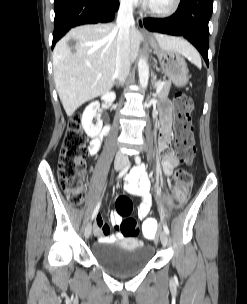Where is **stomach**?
<instances>
[{"mask_svg":"<svg viewBox=\"0 0 247 304\" xmlns=\"http://www.w3.org/2000/svg\"><path fill=\"white\" fill-rule=\"evenodd\" d=\"M151 46L157 53L160 65L170 81L178 87L185 86L189 79V71L181 54L174 51H162L154 41H151Z\"/></svg>","mask_w":247,"mask_h":304,"instance_id":"stomach-1","label":"stomach"}]
</instances>
